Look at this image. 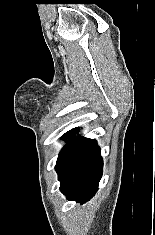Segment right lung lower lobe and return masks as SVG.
<instances>
[{
  "mask_svg": "<svg viewBox=\"0 0 155 235\" xmlns=\"http://www.w3.org/2000/svg\"><path fill=\"white\" fill-rule=\"evenodd\" d=\"M103 161L100 148L93 139L80 138L58 158L56 171L61 191L80 202H86L98 190Z\"/></svg>",
  "mask_w": 155,
  "mask_h": 235,
  "instance_id": "right-lung-lower-lobe-1",
  "label": "right lung lower lobe"
}]
</instances>
